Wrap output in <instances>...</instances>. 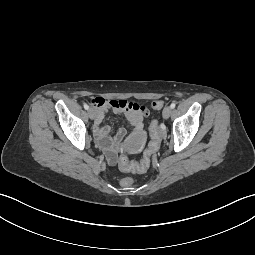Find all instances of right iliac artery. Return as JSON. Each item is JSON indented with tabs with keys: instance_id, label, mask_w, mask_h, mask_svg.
Wrapping results in <instances>:
<instances>
[{
	"instance_id": "82829eb1",
	"label": "right iliac artery",
	"mask_w": 255,
	"mask_h": 255,
	"mask_svg": "<svg viewBox=\"0 0 255 255\" xmlns=\"http://www.w3.org/2000/svg\"><path fill=\"white\" fill-rule=\"evenodd\" d=\"M84 108H85L86 110H88V109H89L88 104L84 103Z\"/></svg>"
}]
</instances>
